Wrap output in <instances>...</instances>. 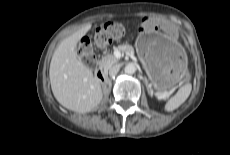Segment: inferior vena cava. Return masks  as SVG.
<instances>
[{
  "label": "inferior vena cava",
  "mask_w": 230,
  "mask_h": 155,
  "mask_svg": "<svg viewBox=\"0 0 230 155\" xmlns=\"http://www.w3.org/2000/svg\"><path fill=\"white\" fill-rule=\"evenodd\" d=\"M119 69H120L119 65H115V66L111 67L109 70V75L111 77L115 76L119 72Z\"/></svg>",
  "instance_id": "inferior-vena-cava-1"
}]
</instances>
